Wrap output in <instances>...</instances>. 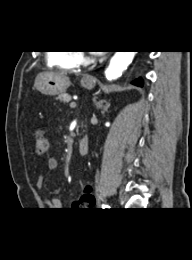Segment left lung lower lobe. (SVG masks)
Segmentation results:
<instances>
[{
  "label": "left lung lower lobe",
  "mask_w": 192,
  "mask_h": 260,
  "mask_svg": "<svg viewBox=\"0 0 192 260\" xmlns=\"http://www.w3.org/2000/svg\"><path fill=\"white\" fill-rule=\"evenodd\" d=\"M133 84L138 85V86H142V80L141 79H137L133 82Z\"/></svg>",
  "instance_id": "left-lung-lower-lobe-1"
}]
</instances>
